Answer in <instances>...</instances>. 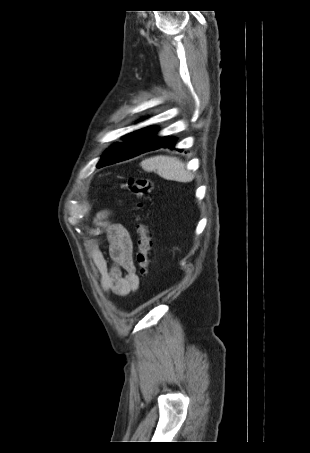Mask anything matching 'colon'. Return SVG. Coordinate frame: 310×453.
<instances>
[{"instance_id": "colon-1", "label": "colon", "mask_w": 310, "mask_h": 453, "mask_svg": "<svg viewBox=\"0 0 310 453\" xmlns=\"http://www.w3.org/2000/svg\"><path fill=\"white\" fill-rule=\"evenodd\" d=\"M121 188L138 198H142L150 194L154 190L152 181L145 178H130L123 184ZM141 206V205H140ZM138 234V250L136 260L142 275H147L150 266L149 253L152 249V237L149 234L147 226L142 222L141 217H138V224L136 227Z\"/></svg>"}]
</instances>
